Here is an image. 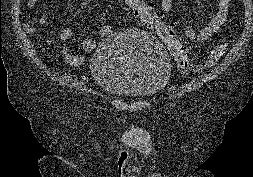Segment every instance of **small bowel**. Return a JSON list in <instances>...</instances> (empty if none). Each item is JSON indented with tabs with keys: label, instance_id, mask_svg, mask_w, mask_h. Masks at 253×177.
Returning a JSON list of instances; mask_svg holds the SVG:
<instances>
[{
	"label": "small bowel",
	"instance_id": "1",
	"mask_svg": "<svg viewBox=\"0 0 253 177\" xmlns=\"http://www.w3.org/2000/svg\"><path fill=\"white\" fill-rule=\"evenodd\" d=\"M40 0H26V6L28 8H32L38 3ZM217 10L213 14V16L209 19L208 23L201 27L200 29H196L192 26H186L184 28L185 36L190 40L197 41H206L208 40L214 33L218 32V30L224 25L227 21L229 8L231 4V0H217ZM75 0H64L63 10L67 12ZM161 8L165 12H169L173 7L174 0H159ZM50 13L43 14L39 22L41 24H45L50 20ZM24 29L28 33L33 32V27L30 24H25ZM112 31V28L108 24H102L99 28V35L101 37L108 36ZM59 37L62 41H68L73 38V30L70 27H64L61 29L59 33ZM96 46V41L92 38H86L82 41L81 47L84 52L89 53L93 51ZM57 49L63 55L65 61L72 66H80L84 62L83 55L73 54L69 51L65 46H61L60 44L56 45Z\"/></svg>",
	"mask_w": 253,
	"mask_h": 177
}]
</instances>
